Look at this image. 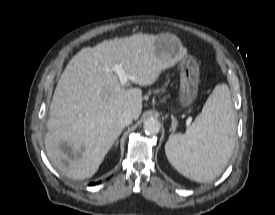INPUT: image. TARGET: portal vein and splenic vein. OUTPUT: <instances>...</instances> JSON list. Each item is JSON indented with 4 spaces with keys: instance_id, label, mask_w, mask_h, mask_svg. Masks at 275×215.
I'll return each mask as SVG.
<instances>
[{
    "instance_id": "18ae733b",
    "label": "portal vein and splenic vein",
    "mask_w": 275,
    "mask_h": 215,
    "mask_svg": "<svg viewBox=\"0 0 275 215\" xmlns=\"http://www.w3.org/2000/svg\"><path fill=\"white\" fill-rule=\"evenodd\" d=\"M112 70L117 74L120 79V83L125 85L128 80L132 79L131 76L127 75L121 64H114Z\"/></svg>"
}]
</instances>
